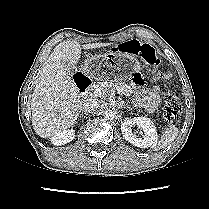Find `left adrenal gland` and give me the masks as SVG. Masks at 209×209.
<instances>
[{
    "mask_svg": "<svg viewBox=\"0 0 209 209\" xmlns=\"http://www.w3.org/2000/svg\"><path fill=\"white\" fill-rule=\"evenodd\" d=\"M120 106H121V108L128 107L130 109V107L123 101L120 102Z\"/></svg>",
    "mask_w": 209,
    "mask_h": 209,
    "instance_id": "left-adrenal-gland-1",
    "label": "left adrenal gland"
}]
</instances>
